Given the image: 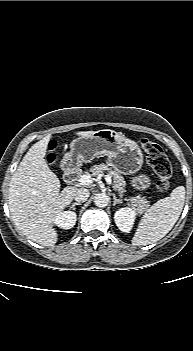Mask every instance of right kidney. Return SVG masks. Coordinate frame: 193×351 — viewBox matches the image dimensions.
I'll return each mask as SVG.
<instances>
[{
	"instance_id": "ca27d5eb",
	"label": "right kidney",
	"mask_w": 193,
	"mask_h": 351,
	"mask_svg": "<svg viewBox=\"0 0 193 351\" xmlns=\"http://www.w3.org/2000/svg\"><path fill=\"white\" fill-rule=\"evenodd\" d=\"M76 213L71 211H64L58 213L54 218V223L63 229H70L76 223Z\"/></svg>"
}]
</instances>
